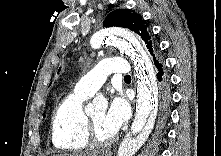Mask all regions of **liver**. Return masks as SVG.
<instances>
[{
    "instance_id": "1",
    "label": "liver",
    "mask_w": 221,
    "mask_h": 156,
    "mask_svg": "<svg viewBox=\"0 0 221 156\" xmlns=\"http://www.w3.org/2000/svg\"><path fill=\"white\" fill-rule=\"evenodd\" d=\"M99 152H86V153H75V154H63L57 156H98Z\"/></svg>"
}]
</instances>
